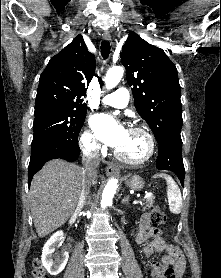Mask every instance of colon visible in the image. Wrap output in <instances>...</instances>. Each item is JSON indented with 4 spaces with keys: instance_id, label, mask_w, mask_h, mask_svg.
I'll return each mask as SVG.
<instances>
[{
    "instance_id": "obj_1",
    "label": "colon",
    "mask_w": 221,
    "mask_h": 278,
    "mask_svg": "<svg viewBox=\"0 0 221 278\" xmlns=\"http://www.w3.org/2000/svg\"><path fill=\"white\" fill-rule=\"evenodd\" d=\"M150 221L154 226L162 225L165 222V214L159 205H155L149 214ZM32 274L34 278H50L41 262L36 259L32 265ZM164 278H177L176 272L172 267H166Z\"/></svg>"
}]
</instances>
